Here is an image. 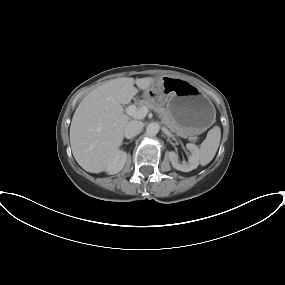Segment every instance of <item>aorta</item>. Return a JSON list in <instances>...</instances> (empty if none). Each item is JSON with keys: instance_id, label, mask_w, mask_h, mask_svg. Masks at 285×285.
<instances>
[{"instance_id": "aorta-1", "label": "aorta", "mask_w": 285, "mask_h": 285, "mask_svg": "<svg viewBox=\"0 0 285 285\" xmlns=\"http://www.w3.org/2000/svg\"><path fill=\"white\" fill-rule=\"evenodd\" d=\"M160 130V126L158 123H150L146 128V133L149 136H155Z\"/></svg>"}]
</instances>
